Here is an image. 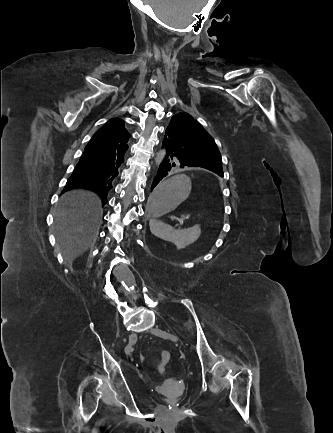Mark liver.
<instances>
[{"mask_svg": "<svg viewBox=\"0 0 333 433\" xmlns=\"http://www.w3.org/2000/svg\"><path fill=\"white\" fill-rule=\"evenodd\" d=\"M101 199L88 190L63 194L55 214V236L64 259L73 262L95 242L101 223Z\"/></svg>", "mask_w": 333, "mask_h": 433, "instance_id": "obj_1", "label": "liver"}]
</instances>
